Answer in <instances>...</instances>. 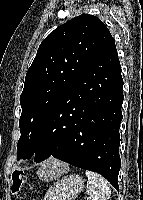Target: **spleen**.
<instances>
[{"label":"spleen","mask_w":143,"mask_h":200,"mask_svg":"<svg viewBox=\"0 0 143 200\" xmlns=\"http://www.w3.org/2000/svg\"><path fill=\"white\" fill-rule=\"evenodd\" d=\"M87 181V194L92 200H108L111 195L110 186L108 181L100 174L86 171Z\"/></svg>","instance_id":"obj_1"}]
</instances>
